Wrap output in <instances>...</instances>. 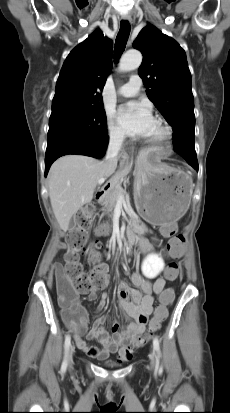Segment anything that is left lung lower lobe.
<instances>
[{"instance_id":"1","label":"left lung lower lobe","mask_w":230,"mask_h":413,"mask_svg":"<svg viewBox=\"0 0 230 413\" xmlns=\"http://www.w3.org/2000/svg\"><path fill=\"white\" fill-rule=\"evenodd\" d=\"M183 142L186 143L185 141H183ZM183 142L181 141V143H183ZM194 146H195V144H194ZM181 156L187 161V163L189 165H191L194 169H196L198 171V161H197L196 154L195 155H193V154H184V155H181Z\"/></svg>"}]
</instances>
